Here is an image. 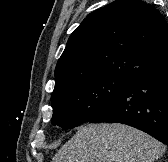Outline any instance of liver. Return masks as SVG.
<instances>
[{
    "instance_id": "obj_1",
    "label": "liver",
    "mask_w": 168,
    "mask_h": 162,
    "mask_svg": "<svg viewBox=\"0 0 168 162\" xmlns=\"http://www.w3.org/2000/svg\"><path fill=\"white\" fill-rule=\"evenodd\" d=\"M164 152L161 142L136 128L89 124L79 128L51 162H154Z\"/></svg>"
}]
</instances>
